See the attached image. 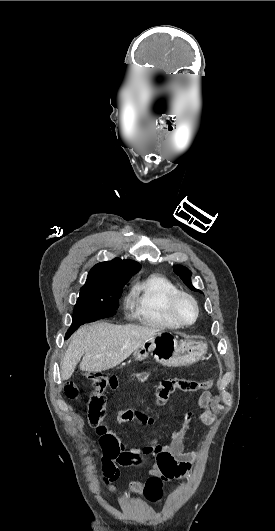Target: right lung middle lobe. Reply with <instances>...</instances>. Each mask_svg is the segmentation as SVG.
Masks as SVG:
<instances>
[{"label": "right lung middle lobe", "instance_id": "1", "mask_svg": "<svg viewBox=\"0 0 275 531\" xmlns=\"http://www.w3.org/2000/svg\"><path fill=\"white\" fill-rule=\"evenodd\" d=\"M127 280L86 282L74 308L73 322L65 338L82 324L116 314L122 286Z\"/></svg>", "mask_w": 275, "mask_h": 531}]
</instances>
